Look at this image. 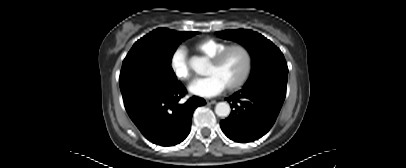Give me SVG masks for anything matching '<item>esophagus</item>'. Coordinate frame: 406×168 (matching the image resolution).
Masks as SVG:
<instances>
[{"label":"esophagus","mask_w":406,"mask_h":168,"mask_svg":"<svg viewBox=\"0 0 406 168\" xmlns=\"http://www.w3.org/2000/svg\"><path fill=\"white\" fill-rule=\"evenodd\" d=\"M206 103L207 104H215L216 100H214V99H206Z\"/></svg>","instance_id":"1"}]
</instances>
